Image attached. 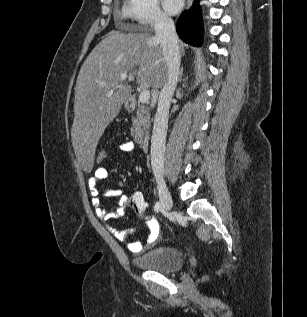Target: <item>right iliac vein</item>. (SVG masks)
Returning <instances> with one entry per match:
<instances>
[{"instance_id": "right-iliac-vein-1", "label": "right iliac vein", "mask_w": 307, "mask_h": 317, "mask_svg": "<svg viewBox=\"0 0 307 317\" xmlns=\"http://www.w3.org/2000/svg\"><path fill=\"white\" fill-rule=\"evenodd\" d=\"M157 187L162 208L168 212L172 208V197L162 177L157 178Z\"/></svg>"}]
</instances>
